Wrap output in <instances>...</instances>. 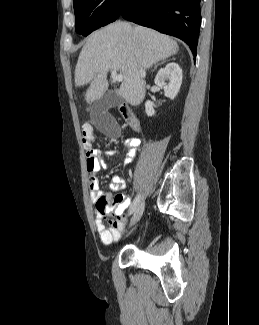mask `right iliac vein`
Returning a JSON list of instances; mask_svg holds the SVG:
<instances>
[{"mask_svg":"<svg viewBox=\"0 0 259 325\" xmlns=\"http://www.w3.org/2000/svg\"><path fill=\"white\" fill-rule=\"evenodd\" d=\"M144 207H145L144 201H140L133 213V216H132L131 222H130V226H133L140 220V218L142 217V214L144 212Z\"/></svg>","mask_w":259,"mask_h":325,"instance_id":"right-iliac-vein-1","label":"right iliac vein"}]
</instances>
